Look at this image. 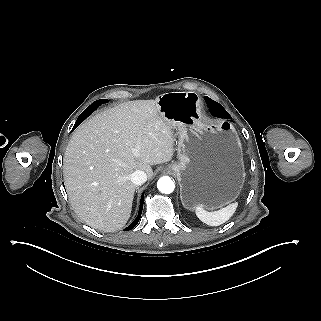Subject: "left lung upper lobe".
Listing matches in <instances>:
<instances>
[{"label":"left lung upper lobe","mask_w":321,"mask_h":321,"mask_svg":"<svg viewBox=\"0 0 321 321\" xmlns=\"http://www.w3.org/2000/svg\"><path fill=\"white\" fill-rule=\"evenodd\" d=\"M205 101L207 103H209V104H215V102L212 99L208 98V97H205Z\"/></svg>","instance_id":"left-lung-upper-lobe-1"}]
</instances>
